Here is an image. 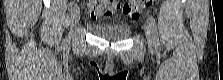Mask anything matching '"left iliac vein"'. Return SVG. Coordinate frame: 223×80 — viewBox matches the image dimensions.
I'll list each match as a JSON object with an SVG mask.
<instances>
[{"label": "left iliac vein", "mask_w": 223, "mask_h": 80, "mask_svg": "<svg viewBox=\"0 0 223 80\" xmlns=\"http://www.w3.org/2000/svg\"><path fill=\"white\" fill-rule=\"evenodd\" d=\"M144 30H145V35L148 41V45L150 48H153L155 46V36H154V32L150 23L145 24Z\"/></svg>", "instance_id": "4c4485c4"}]
</instances>
